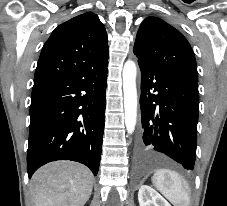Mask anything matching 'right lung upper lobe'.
I'll return each mask as SVG.
<instances>
[{"instance_id":"1","label":"right lung upper lobe","mask_w":227,"mask_h":206,"mask_svg":"<svg viewBox=\"0 0 227 206\" xmlns=\"http://www.w3.org/2000/svg\"><path fill=\"white\" fill-rule=\"evenodd\" d=\"M108 57L103 23L92 12L78 15L59 25L44 44L34 83L100 66Z\"/></svg>"}]
</instances>
